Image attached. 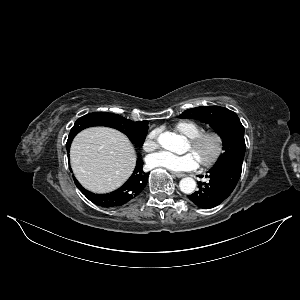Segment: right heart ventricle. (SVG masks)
Here are the masks:
<instances>
[{
    "label": "right heart ventricle",
    "mask_w": 300,
    "mask_h": 300,
    "mask_svg": "<svg viewBox=\"0 0 300 300\" xmlns=\"http://www.w3.org/2000/svg\"><path fill=\"white\" fill-rule=\"evenodd\" d=\"M174 130L187 138L194 137L204 131L202 125L190 121V120H181L174 124Z\"/></svg>",
    "instance_id": "1"
}]
</instances>
